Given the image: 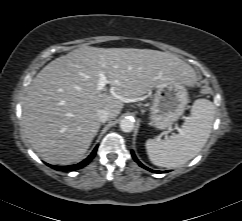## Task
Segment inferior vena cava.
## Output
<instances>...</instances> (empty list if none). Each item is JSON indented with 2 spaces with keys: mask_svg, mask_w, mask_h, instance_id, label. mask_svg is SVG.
Wrapping results in <instances>:
<instances>
[{
  "mask_svg": "<svg viewBox=\"0 0 242 221\" xmlns=\"http://www.w3.org/2000/svg\"><path fill=\"white\" fill-rule=\"evenodd\" d=\"M97 117L100 122L105 123L109 120V113L106 110H98Z\"/></svg>",
  "mask_w": 242,
  "mask_h": 221,
  "instance_id": "inferior-vena-cava-1",
  "label": "inferior vena cava"
}]
</instances>
